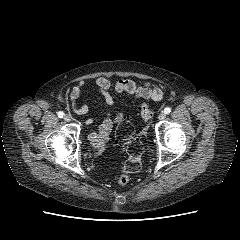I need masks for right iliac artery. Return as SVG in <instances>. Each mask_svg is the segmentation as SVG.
Here are the masks:
<instances>
[{
    "instance_id": "obj_1",
    "label": "right iliac artery",
    "mask_w": 240,
    "mask_h": 240,
    "mask_svg": "<svg viewBox=\"0 0 240 240\" xmlns=\"http://www.w3.org/2000/svg\"><path fill=\"white\" fill-rule=\"evenodd\" d=\"M57 115H58L59 118H63L64 113H63L62 111H59V112L57 113Z\"/></svg>"
}]
</instances>
